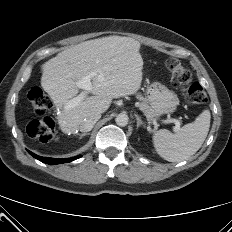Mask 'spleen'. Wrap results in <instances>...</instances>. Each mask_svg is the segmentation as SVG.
I'll list each match as a JSON object with an SVG mask.
<instances>
[{"label": "spleen", "mask_w": 232, "mask_h": 232, "mask_svg": "<svg viewBox=\"0 0 232 232\" xmlns=\"http://www.w3.org/2000/svg\"><path fill=\"white\" fill-rule=\"evenodd\" d=\"M210 111L204 110L192 123L177 133L160 129L153 135L157 153L169 162H180L195 154L205 141L210 128Z\"/></svg>", "instance_id": "spleen-1"}]
</instances>
